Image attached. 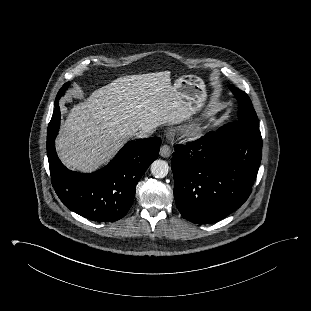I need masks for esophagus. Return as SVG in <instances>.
Listing matches in <instances>:
<instances>
[{
  "label": "esophagus",
  "instance_id": "34e87169",
  "mask_svg": "<svg viewBox=\"0 0 311 311\" xmlns=\"http://www.w3.org/2000/svg\"><path fill=\"white\" fill-rule=\"evenodd\" d=\"M160 155L163 158H168L171 155V150L168 145H163L160 149Z\"/></svg>",
  "mask_w": 311,
  "mask_h": 311
}]
</instances>
